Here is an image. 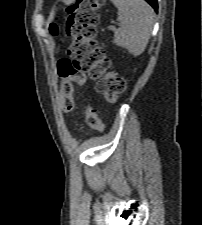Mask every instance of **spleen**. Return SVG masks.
<instances>
[{"label": "spleen", "mask_w": 202, "mask_h": 225, "mask_svg": "<svg viewBox=\"0 0 202 225\" xmlns=\"http://www.w3.org/2000/svg\"><path fill=\"white\" fill-rule=\"evenodd\" d=\"M118 9L120 27L113 43L126 48L134 56L142 54L148 44L154 11L144 0H111Z\"/></svg>", "instance_id": "3e777b00"}]
</instances>
